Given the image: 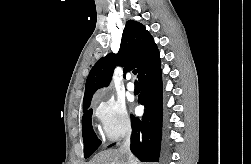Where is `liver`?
Wrapping results in <instances>:
<instances>
[{
    "instance_id": "1",
    "label": "liver",
    "mask_w": 251,
    "mask_h": 164,
    "mask_svg": "<svg viewBox=\"0 0 251 164\" xmlns=\"http://www.w3.org/2000/svg\"><path fill=\"white\" fill-rule=\"evenodd\" d=\"M128 156L122 148L109 149L95 155L88 164H130ZM134 162L139 164L135 159Z\"/></svg>"
}]
</instances>
